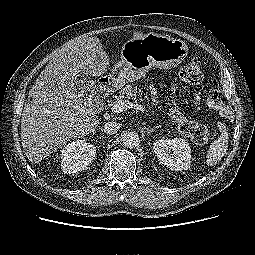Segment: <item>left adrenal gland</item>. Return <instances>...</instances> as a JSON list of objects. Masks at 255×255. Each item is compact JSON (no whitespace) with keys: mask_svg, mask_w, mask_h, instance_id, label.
Segmentation results:
<instances>
[{"mask_svg":"<svg viewBox=\"0 0 255 255\" xmlns=\"http://www.w3.org/2000/svg\"><path fill=\"white\" fill-rule=\"evenodd\" d=\"M157 128H159V126L154 127L153 129H149V128H147L146 130H147V133H148V134H150V133L154 132V131H155V129H157Z\"/></svg>","mask_w":255,"mask_h":255,"instance_id":"obj_1","label":"left adrenal gland"}]
</instances>
